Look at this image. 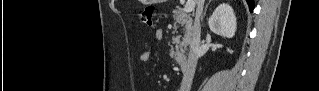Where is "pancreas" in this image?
<instances>
[{"mask_svg": "<svg viewBox=\"0 0 319 91\" xmlns=\"http://www.w3.org/2000/svg\"><path fill=\"white\" fill-rule=\"evenodd\" d=\"M173 18L175 24L184 27V36L182 37L179 35L172 38L174 47L170 50V57L175 59L178 63H181L192 36V20L181 8H177L173 11ZM181 37L182 40L180 41Z\"/></svg>", "mask_w": 319, "mask_h": 91, "instance_id": "cf45deb5", "label": "pancreas"}]
</instances>
